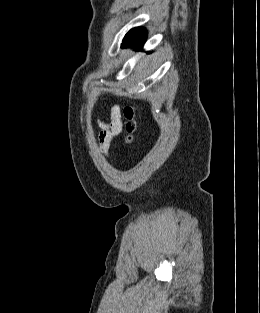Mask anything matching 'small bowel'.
Instances as JSON below:
<instances>
[{
    "instance_id": "obj_1",
    "label": "small bowel",
    "mask_w": 260,
    "mask_h": 313,
    "mask_svg": "<svg viewBox=\"0 0 260 313\" xmlns=\"http://www.w3.org/2000/svg\"><path fill=\"white\" fill-rule=\"evenodd\" d=\"M101 131L99 133L97 145L101 153L107 154L112 139L120 134L122 130L121 114L118 105L111 108V121L108 124L100 122Z\"/></svg>"
}]
</instances>
